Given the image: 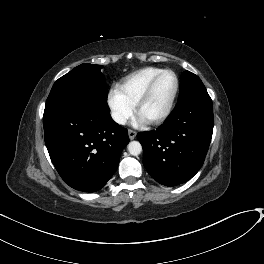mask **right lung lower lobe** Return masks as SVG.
Here are the masks:
<instances>
[{
    "label": "right lung lower lobe",
    "instance_id": "1",
    "mask_svg": "<svg viewBox=\"0 0 264 264\" xmlns=\"http://www.w3.org/2000/svg\"><path fill=\"white\" fill-rule=\"evenodd\" d=\"M107 97L82 96L44 111L45 144L52 163L70 187L100 190L116 171L129 143L127 129L111 118Z\"/></svg>",
    "mask_w": 264,
    "mask_h": 264
}]
</instances>
